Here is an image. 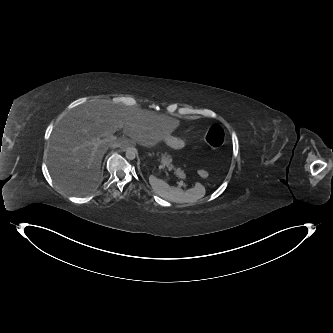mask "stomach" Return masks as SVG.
Here are the masks:
<instances>
[{
  "instance_id": "stomach-1",
  "label": "stomach",
  "mask_w": 333,
  "mask_h": 333,
  "mask_svg": "<svg viewBox=\"0 0 333 333\" xmlns=\"http://www.w3.org/2000/svg\"><path fill=\"white\" fill-rule=\"evenodd\" d=\"M199 128L195 127L193 128L192 132H190V134L187 135V137L185 138V140H182V139H178L176 137H172V136H169L165 139V141L169 144H171V146L173 148H183L185 146V143H190L191 140H195L196 139V135L197 133H199Z\"/></svg>"
}]
</instances>
